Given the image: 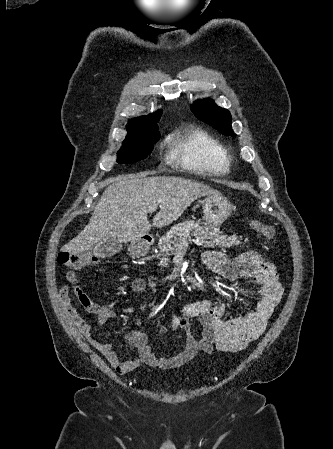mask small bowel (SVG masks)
<instances>
[{
  "label": "small bowel",
  "instance_id": "1",
  "mask_svg": "<svg viewBox=\"0 0 333 449\" xmlns=\"http://www.w3.org/2000/svg\"><path fill=\"white\" fill-rule=\"evenodd\" d=\"M203 265L222 277L235 281L246 280L260 287V299L256 308L245 316L224 319L225 305L219 301H191L182 306L179 315L172 320L173 329H181L185 334V347L178 354L158 357L149 344V338L142 330L127 335L126 341L137 349V355L131 360H123L114 346L102 342L92 332L91 326L71 304L70 292L88 312L98 313L101 320L113 319L116 313L110 308L100 307L93 302L79 285L75 270L66 273L69 285L62 286L58 293L60 305L69 320L79 332L100 351L119 374H127L140 364L158 369L179 367L199 353L211 354L214 349L221 351H240L256 340L266 329L268 321L283 296V287L276 267L257 253H248L234 259H228L219 251H206L202 254ZM146 303L140 305L144 310ZM200 318L203 330L200 338L191 332L190 319Z\"/></svg>",
  "mask_w": 333,
  "mask_h": 449
}]
</instances>
